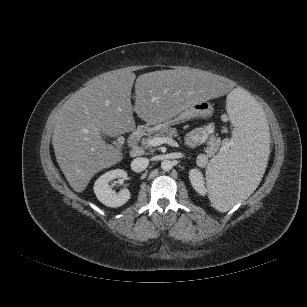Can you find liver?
Returning a JSON list of instances; mask_svg holds the SVG:
<instances>
[{"mask_svg": "<svg viewBox=\"0 0 307 307\" xmlns=\"http://www.w3.org/2000/svg\"><path fill=\"white\" fill-rule=\"evenodd\" d=\"M136 75L114 70L78 90L60 109L52 136L57 162L77 193L92 177L122 159L101 134L111 137L135 129L133 112L143 121L166 119L201 100L226 95L229 87L221 78L189 68L142 74L135 82V105L131 90Z\"/></svg>", "mask_w": 307, "mask_h": 307, "instance_id": "1", "label": "liver"}]
</instances>
